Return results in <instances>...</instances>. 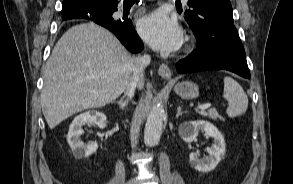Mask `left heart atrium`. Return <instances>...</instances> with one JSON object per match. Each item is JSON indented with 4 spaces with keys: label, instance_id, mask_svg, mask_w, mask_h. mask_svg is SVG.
Returning a JSON list of instances; mask_svg holds the SVG:
<instances>
[{
    "label": "left heart atrium",
    "instance_id": "39dd6f15",
    "mask_svg": "<svg viewBox=\"0 0 293 184\" xmlns=\"http://www.w3.org/2000/svg\"><path fill=\"white\" fill-rule=\"evenodd\" d=\"M138 31L149 45L163 52L179 49L183 41V32L177 21L159 11L141 18Z\"/></svg>",
    "mask_w": 293,
    "mask_h": 184
}]
</instances>
